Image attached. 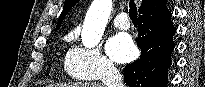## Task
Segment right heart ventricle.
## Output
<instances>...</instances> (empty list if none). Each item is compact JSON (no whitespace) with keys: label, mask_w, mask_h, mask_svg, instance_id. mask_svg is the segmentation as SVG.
<instances>
[{"label":"right heart ventricle","mask_w":205,"mask_h":87,"mask_svg":"<svg viewBox=\"0 0 205 87\" xmlns=\"http://www.w3.org/2000/svg\"><path fill=\"white\" fill-rule=\"evenodd\" d=\"M66 57H67V56H66ZM65 69H66L67 73H68L72 78H75V79H81V78H79V77H76V76H73L72 74H70L66 62H65Z\"/></svg>","instance_id":"1"}]
</instances>
